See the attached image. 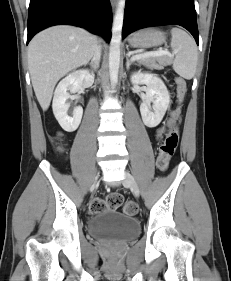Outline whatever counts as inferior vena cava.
Returning <instances> with one entry per match:
<instances>
[{
  "instance_id": "602c4592",
  "label": "inferior vena cava",
  "mask_w": 231,
  "mask_h": 281,
  "mask_svg": "<svg viewBox=\"0 0 231 281\" xmlns=\"http://www.w3.org/2000/svg\"><path fill=\"white\" fill-rule=\"evenodd\" d=\"M100 56H101V48H100V46L96 45L95 50H94V57H93L92 61L99 65Z\"/></svg>"
}]
</instances>
